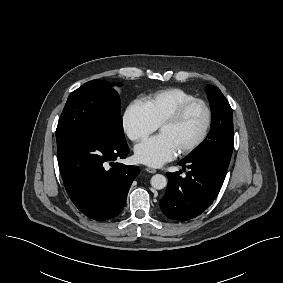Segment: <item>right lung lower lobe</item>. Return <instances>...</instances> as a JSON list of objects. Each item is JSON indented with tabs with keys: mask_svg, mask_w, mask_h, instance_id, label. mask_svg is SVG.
Listing matches in <instances>:
<instances>
[{
	"mask_svg": "<svg viewBox=\"0 0 283 283\" xmlns=\"http://www.w3.org/2000/svg\"><path fill=\"white\" fill-rule=\"evenodd\" d=\"M128 153L126 140L93 129L77 132L57 145L65 189L87 217L108 220L122 211L129 188L140 172L139 167L114 163Z\"/></svg>",
	"mask_w": 283,
	"mask_h": 283,
	"instance_id": "right-lung-lower-lobe-1",
	"label": "right lung lower lobe"
}]
</instances>
